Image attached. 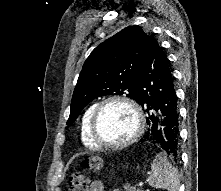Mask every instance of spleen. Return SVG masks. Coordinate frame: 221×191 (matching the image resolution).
Listing matches in <instances>:
<instances>
[{
	"label": "spleen",
	"instance_id": "3e777b00",
	"mask_svg": "<svg viewBox=\"0 0 221 191\" xmlns=\"http://www.w3.org/2000/svg\"><path fill=\"white\" fill-rule=\"evenodd\" d=\"M148 183L156 189L178 191L180 184L178 171L168 161L164 152L157 154L153 160Z\"/></svg>",
	"mask_w": 221,
	"mask_h": 191
}]
</instances>
